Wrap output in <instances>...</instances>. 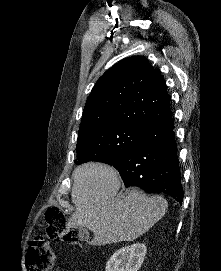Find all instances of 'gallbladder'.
I'll use <instances>...</instances> for the list:
<instances>
[{"mask_svg":"<svg viewBox=\"0 0 221 271\" xmlns=\"http://www.w3.org/2000/svg\"><path fill=\"white\" fill-rule=\"evenodd\" d=\"M78 237H80V241H89L90 239V231L87 227H78Z\"/></svg>","mask_w":221,"mask_h":271,"instance_id":"obj_1","label":"gallbladder"}]
</instances>
